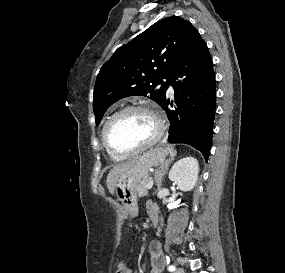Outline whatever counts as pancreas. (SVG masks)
Wrapping results in <instances>:
<instances>
[{"instance_id":"pancreas-1","label":"pancreas","mask_w":285,"mask_h":273,"mask_svg":"<svg viewBox=\"0 0 285 273\" xmlns=\"http://www.w3.org/2000/svg\"><path fill=\"white\" fill-rule=\"evenodd\" d=\"M150 180V177H147L139 183L137 187V194L139 197H144L148 195V184Z\"/></svg>"}]
</instances>
